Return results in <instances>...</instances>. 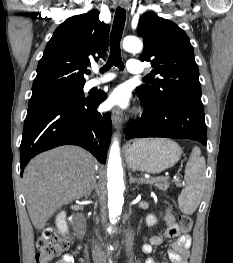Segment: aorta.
<instances>
[{
  "mask_svg": "<svg viewBox=\"0 0 233 263\" xmlns=\"http://www.w3.org/2000/svg\"><path fill=\"white\" fill-rule=\"evenodd\" d=\"M142 42L134 36H128L123 40V48L128 52L138 53L142 50ZM107 190H108V209L110 222L114 224L122 212L124 202V181L121 166L119 143L114 139L108 158L107 168Z\"/></svg>",
  "mask_w": 233,
  "mask_h": 263,
  "instance_id": "aorta-1",
  "label": "aorta"
}]
</instances>
